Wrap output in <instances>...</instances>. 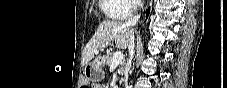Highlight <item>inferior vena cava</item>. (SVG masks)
<instances>
[{
	"label": "inferior vena cava",
	"mask_w": 227,
	"mask_h": 88,
	"mask_svg": "<svg viewBox=\"0 0 227 88\" xmlns=\"http://www.w3.org/2000/svg\"><path fill=\"white\" fill-rule=\"evenodd\" d=\"M139 18H140V15H135L133 17H130L127 21H125L124 26H126V27L136 26ZM134 48H135L134 32H132V35L130 37L129 46H128V51H129V55H130V59H129V63H128V70L131 67V61H132L133 56H134ZM126 78H127V76H126ZM126 88H128V86H126Z\"/></svg>",
	"instance_id": "obj_1"
}]
</instances>
